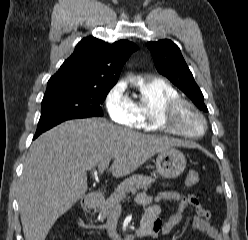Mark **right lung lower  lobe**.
<instances>
[{"instance_id": "1", "label": "right lung lower lobe", "mask_w": 248, "mask_h": 240, "mask_svg": "<svg viewBox=\"0 0 248 240\" xmlns=\"http://www.w3.org/2000/svg\"><path fill=\"white\" fill-rule=\"evenodd\" d=\"M63 121H56V122H45V123H38L37 131L33 139L37 138L43 132L49 130L50 128L56 126L57 124Z\"/></svg>"}]
</instances>
